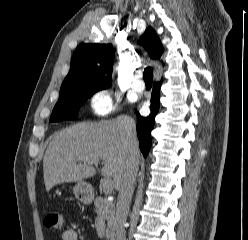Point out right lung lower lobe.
<instances>
[{"instance_id":"98d812e1","label":"right lung lower lobe","mask_w":248,"mask_h":240,"mask_svg":"<svg viewBox=\"0 0 248 240\" xmlns=\"http://www.w3.org/2000/svg\"><path fill=\"white\" fill-rule=\"evenodd\" d=\"M162 80L160 82H156L153 85V91L151 96V113L147 117H142L137 111V133L139 137V147L144 157L147 156L149 149L152 145L151 140V131L155 124V117L159 110V102H160V87Z\"/></svg>"}]
</instances>
